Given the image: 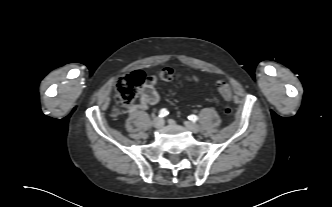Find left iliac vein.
<instances>
[{"instance_id": "obj_1", "label": "left iliac vein", "mask_w": 332, "mask_h": 207, "mask_svg": "<svg viewBox=\"0 0 332 207\" xmlns=\"http://www.w3.org/2000/svg\"><path fill=\"white\" fill-rule=\"evenodd\" d=\"M184 124L193 133H198L200 131V127L197 124L190 121H185Z\"/></svg>"}]
</instances>
